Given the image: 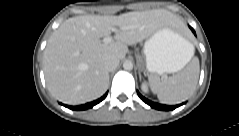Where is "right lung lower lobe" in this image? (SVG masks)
Wrapping results in <instances>:
<instances>
[{
    "instance_id": "obj_1",
    "label": "right lung lower lobe",
    "mask_w": 239,
    "mask_h": 136,
    "mask_svg": "<svg viewBox=\"0 0 239 136\" xmlns=\"http://www.w3.org/2000/svg\"><path fill=\"white\" fill-rule=\"evenodd\" d=\"M106 96H107V93L105 95H103L101 98H99L98 100H95L93 102H89L87 104L80 105V106H68V105H65V104H62V105L69 108V109H72V110H85V109L92 108L96 104L100 103L102 100H104V98Z\"/></svg>"
}]
</instances>
